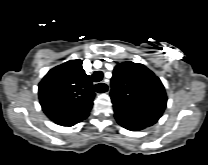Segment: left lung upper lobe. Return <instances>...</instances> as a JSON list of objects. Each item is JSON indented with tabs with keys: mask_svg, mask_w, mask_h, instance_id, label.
Wrapping results in <instances>:
<instances>
[{
	"mask_svg": "<svg viewBox=\"0 0 208 165\" xmlns=\"http://www.w3.org/2000/svg\"><path fill=\"white\" fill-rule=\"evenodd\" d=\"M110 96L117 122L136 126L154 125L167 105L160 79L143 64L133 62L114 68Z\"/></svg>",
	"mask_w": 208,
	"mask_h": 165,
	"instance_id": "5c2ea615",
	"label": "left lung upper lobe"
}]
</instances>
